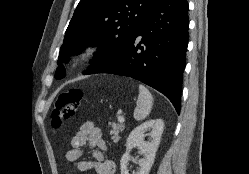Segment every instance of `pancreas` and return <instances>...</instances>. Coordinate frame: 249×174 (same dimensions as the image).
Wrapping results in <instances>:
<instances>
[{
    "label": "pancreas",
    "mask_w": 249,
    "mask_h": 174,
    "mask_svg": "<svg viewBox=\"0 0 249 174\" xmlns=\"http://www.w3.org/2000/svg\"><path fill=\"white\" fill-rule=\"evenodd\" d=\"M111 129L109 131L111 138L114 142H118L120 137L119 133L122 132L125 129V126L122 123H110Z\"/></svg>",
    "instance_id": "obj_1"
}]
</instances>
